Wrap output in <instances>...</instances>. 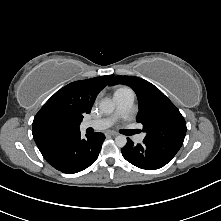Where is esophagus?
I'll return each mask as SVG.
<instances>
[{
	"mask_svg": "<svg viewBox=\"0 0 221 221\" xmlns=\"http://www.w3.org/2000/svg\"><path fill=\"white\" fill-rule=\"evenodd\" d=\"M106 135L117 136V133L110 131V132H107Z\"/></svg>",
	"mask_w": 221,
	"mask_h": 221,
	"instance_id": "34e87169",
	"label": "esophagus"
}]
</instances>
